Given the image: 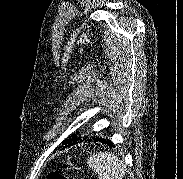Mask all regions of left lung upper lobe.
Returning <instances> with one entry per match:
<instances>
[{
    "mask_svg": "<svg viewBox=\"0 0 183 179\" xmlns=\"http://www.w3.org/2000/svg\"><path fill=\"white\" fill-rule=\"evenodd\" d=\"M76 138H79V137H77V135L73 134L72 137H69L68 139L65 140V144H67V143L73 141V140L76 139Z\"/></svg>",
    "mask_w": 183,
    "mask_h": 179,
    "instance_id": "left-lung-upper-lobe-1",
    "label": "left lung upper lobe"
}]
</instances>
